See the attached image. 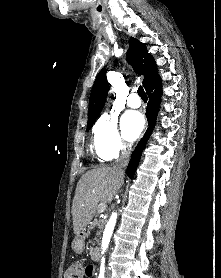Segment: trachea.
Listing matches in <instances>:
<instances>
[{
  "instance_id": "trachea-1",
  "label": "trachea",
  "mask_w": 221,
  "mask_h": 278,
  "mask_svg": "<svg viewBox=\"0 0 221 278\" xmlns=\"http://www.w3.org/2000/svg\"><path fill=\"white\" fill-rule=\"evenodd\" d=\"M137 92H138V95L141 97L142 100H147L148 99L142 86H139Z\"/></svg>"
}]
</instances>
